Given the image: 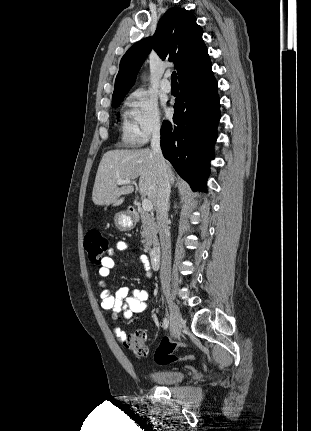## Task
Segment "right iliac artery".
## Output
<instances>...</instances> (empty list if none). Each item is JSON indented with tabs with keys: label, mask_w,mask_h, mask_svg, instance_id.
Returning a JSON list of instances; mask_svg holds the SVG:
<instances>
[{
	"label": "right iliac artery",
	"mask_w": 311,
	"mask_h": 431,
	"mask_svg": "<svg viewBox=\"0 0 311 431\" xmlns=\"http://www.w3.org/2000/svg\"><path fill=\"white\" fill-rule=\"evenodd\" d=\"M163 326H164V329L168 328V326H169V320H168V318H164V320H163Z\"/></svg>",
	"instance_id": "right-iliac-artery-1"
}]
</instances>
